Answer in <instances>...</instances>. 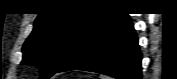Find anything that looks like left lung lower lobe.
<instances>
[{
    "label": "left lung lower lobe",
    "instance_id": "left-lung-lower-lobe-1",
    "mask_svg": "<svg viewBox=\"0 0 177 79\" xmlns=\"http://www.w3.org/2000/svg\"><path fill=\"white\" fill-rule=\"evenodd\" d=\"M86 70L116 79H141V52L127 14L107 13L58 69Z\"/></svg>",
    "mask_w": 177,
    "mask_h": 79
}]
</instances>
